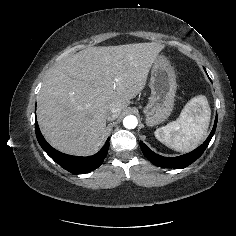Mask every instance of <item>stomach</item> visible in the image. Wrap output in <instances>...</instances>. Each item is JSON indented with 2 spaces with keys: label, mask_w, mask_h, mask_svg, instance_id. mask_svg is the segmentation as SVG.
I'll return each instance as SVG.
<instances>
[{
  "label": "stomach",
  "mask_w": 236,
  "mask_h": 236,
  "mask_svg": "<svg viewBox=\"0 0 236 236\" xmlns=\"http://www.w3.org/2000/svg\"><path fill=\"white\" fill-rule=\"evenodd\" d=\"M150 88L151 96L143 112L146 125L152 127L163 122L171 114L177 89L174 69L163 55H158L153 63Z\"/></svg>",
  "instance_id": "1"
}]
</instances>
